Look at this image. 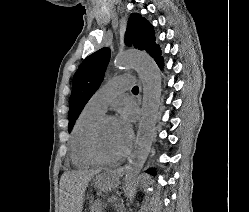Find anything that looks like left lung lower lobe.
<instances>
[{"instance_id": "left-lung-lower-lobe-1", "label": "left lung lower lobe", "mask_w": 249, "mask_h": 212, "mask_svg": "<svg viewBox=\"0 0 249 212\" xmlns=\"http://www.w3.org/2000/svg\"><path fill=\"white\" fill-rule=\"evenodd\" d=\"M155 61L157 62V64L159 65L160 68L163 67V58L161 56V52H159L155 57H154ZM150 174L155 175V171L154 170H148L147 171Z\"/></svg>"}]
</instances>
